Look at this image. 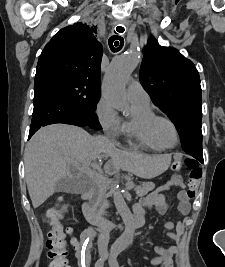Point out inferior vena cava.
I'll return each mask as SVG.
<instances>
[{
  "mask_svg": "<svg viewBox=\"0 0 225 267\" xmlns=\"http://www.w3.org/2000/svg\"><path fill=\"white\" fill-rule=\"evenodd\" d=\"M97 141L99 142H102V143H111V141L106 137V136H102V135H99V136H96L95 137ZM104 180V178L102 176H99L97 178V184H98V188L102 191V181ZM108 243V234L103 232L101 234V236L99 237V244L101 246H106Z\"/></svg>",
  "mask_w": 225,
  "mask_h": 267,
  "instance_id": "obj_1",
  "label": "inferior vena cava"
}]
</instances>
